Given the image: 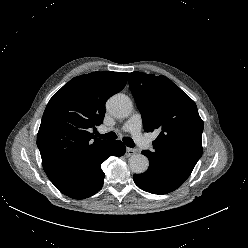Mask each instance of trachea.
I'll return each instance as SVG.
<instances>
[{"instance_id": "obj_1", "label": "trachea", "mask_w": 248, "mask_h": 248, "mask_svg": "<svg viewBox=\"0 0 248 248\" xmlns=\"http://www.w3.org/2000/svg\"><path fill=\"white\" fill-rule=\"evenodd\" d=\"M97 137L101 139L114 140L117 139V135L114 132H109L106 134H100L98 132L95 133ZM123 142L127 147H134L135 143L130 137H124Z\"/></svg>"}]
</instances>
